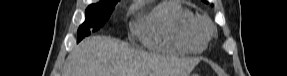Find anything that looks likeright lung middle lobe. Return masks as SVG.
<instances>
[{
    "label": "right lung middle lobe",
    "instance_id": "1",
    "mask_svg": "<svg viewBox=\"0 0 287 76\" xmlns=\"http://www.w3.org/2000/svg\"><path fill=\"white\" fill-rule=\"evenodd\" d=\"M116 3L117 2H99L90 5L86 9V19L84 23L81 24L78 29L77 42L102 27L109 19Z\"/></svg>",
    "mask_w": 287,
    "mask_h": 76
}]
</instances>
